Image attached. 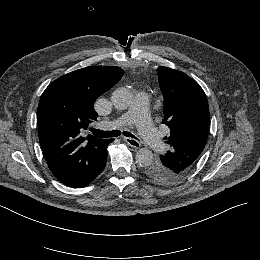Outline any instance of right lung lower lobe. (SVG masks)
Returning <instances> with one entry per match:
<instances>
[{"label": "right lung lower lobe", "mask_w": 260, "mask_h": 260, "mask_svg": "<svg viewBox=\"0 0 260 260\" xmlns=\"http://www.w3.org/2000/svg\"><path fill=\"white\" fill-rule=\"evenodd\" d=\"M106 160H107V156L105 160H103L101 163L93 167V169L88 173L80 176H75L73 178L61 182L67 186L75 187V188L87 186L102 172V170L105 167Z\"/></svg>", "instance_id": "obj_1"}]
</instances>
